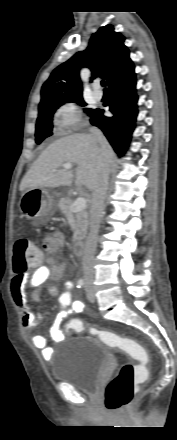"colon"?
Returning <instances> with one entry per match:
<instances>
[{
	"label": "colon",
	"instance_id": "colon-1",
	"mask_svg": "<svg viewBox=\"0 0 177 440\" xmlns=\"http://www.w3.org/2000/svg\"><path fill=\"white\" fill-rule=\"evenodd\" d=\"M42 261V252L29 238L23 237L15 242L13 247V269L16 273H23ZM85 329H88L92 335L98 337L106 345L129 353L139 362H145L148 358L145 348L131 338L88 326L79 318H72L65 325L67 332H82ZM146 377L147 370L142 365L123 364L116 376L106 386L104 392L106 408L118 411L127 407L135 395L138 384L142 383Z\"/></svg>",
	"mask_w": 177,
	"mask_h": 440
}]
</instances>
